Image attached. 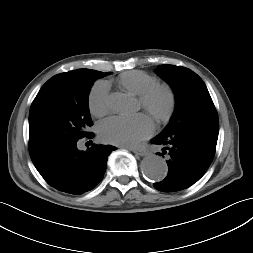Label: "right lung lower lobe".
<instances>
[{
  "instance_id": "98d812e1",
  "label": "right lung lower lobe",
  "mask_w": 253,
  "mask_h": 253,
  "mask_svg": "<svg viewBox=\"0 0 253 253\" xmlns=\"http://www.w3.org/2000/svg\"><path fill=\"white\" fill-rule=\"evenodd\" d=\"M93 133L87 137L92 138ZM116 150L111 145H93L86 151L77 142L60 147L34 165L44 180L55 189L80 195L92 190L103 178L107 157Z\"/></svg>"
}]
</instances>
